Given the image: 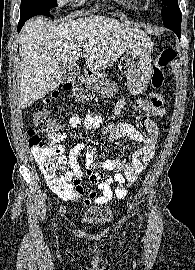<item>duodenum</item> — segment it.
<instances>
[{"label":"duodenum","mask_w":195,"mask_h":270,"mask_svg":"<svg viewBox=\"0 0 195 270\" xmlns=\"http://www.w3.org/2000/svg\"><path fill=\"white\" fill-rule=\"evenodd\" d=\"M88 74L91 76L92 72L89 71Z\"/></svg>","instance_id":"410a0bca"}]
</instances>
